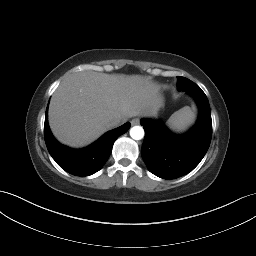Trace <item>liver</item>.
Instances as JSON below:
<instances>
[{
    "label": "liver",
    "mask_w": 256,
    "mask_h": 256,
    "mask_svg": "<svg viewBox=\"0 0 256 256\" xmlns=\"http://www.w3.org/2000/svg\"><path fill=\"white\" fill-rule=\"evenodd\" d=\"M162 105L159 86L148 78L84 71L70 75L56 89L48 120L61 143L82 147L111 129L113 120L154 116Z\"/></svg>",
    "instance_id": "6515ba94"
}]
</instances>
